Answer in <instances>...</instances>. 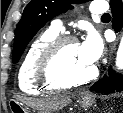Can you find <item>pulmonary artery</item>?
<instances>
[{
	"label": "pulmonary artery",
	"instance_id": "pulmonary-artery-1",
	"mask_svg": "<svg viewBox=\"0 0 123 113\" xmlns=\"http://www.w3.org/2000/svg\"><path fill=\"white\" fill-rule=\"evenodd\" d=\"M108 4L106 1H95L92 2L90 11L94 14H103L107 11ZM52 28L56 31H63V22L60 19H55L52 21Z\"/></svg>",
	"mask_w": 123,
	"mask_h": 113
}]
</instances>
